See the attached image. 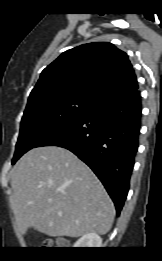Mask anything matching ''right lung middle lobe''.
<instances>
[{"instance_id": "obj_1", "label": "right lung middle lobe", "mask_w": 162, "mask_h": 261, "mask_svg": "<svg viewBox=\"0 0 162 261\" xmlns=\"http://www.w3.org/2000/svg\"><path fill=\"white\" fill-rule=\"evenodd\" d=\"M98 104V101L78 93L29 100L21 120L12 164L28 150L35 148L52 130L93 110Z\"/></svg>"}]
</instances>
